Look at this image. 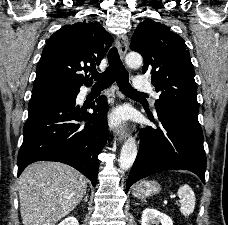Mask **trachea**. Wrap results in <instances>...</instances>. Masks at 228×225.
Segmentation results:
<instances>
[{"label": "trachea", "mask_w": 228, "mask_h": 225, "mask_svg": "<svg viewBox=\"0 0 228 225\" xmlns=\"http://www.w3.org/2000/svg\"><path fill=\"white\" fill-rule=\"evenodd\" d=\"M108 63L109 67H107L103 73H99L95 69L91 71L92 77L96 80L94 87L108 88L116 80L118 87L125 95L142 96L143 98H147V94L138 92L130 85L128 72L125 70L116 48H111L109 51Z\"/></svg>", "instance_id": "obj_1"}]
</instances>
